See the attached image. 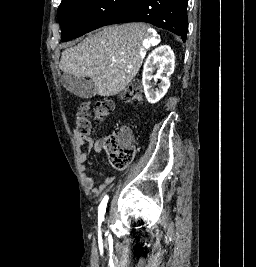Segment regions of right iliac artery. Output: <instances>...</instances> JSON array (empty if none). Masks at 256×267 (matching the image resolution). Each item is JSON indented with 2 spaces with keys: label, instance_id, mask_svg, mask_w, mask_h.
<instances>
[{
  "label": "right iliac artery",
  "instance_id": "82829eb1",
  "mask_svg": "<svg viewBox=\"0 0 256 267\" xmlns=\"http://www.w3.org/2000/svg\"><path fill=\"white\" fill-rule=\"evenodd\" d=\"M108 199H109V197L106 195L99 205V209H98L99 222H102L104 220V214L106 212V206H107Z\"/></svg>",
  "mask_w": 256,
  "mask_h": 267
}]
</instances>
